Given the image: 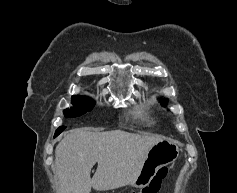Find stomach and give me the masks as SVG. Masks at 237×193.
I'll use <instances>...</instances> for the list:
<instances>
[{
	"instance_id": "obj_1",
	"label": "stomach",
	"mask_w": 237,
	"mask_h": 193,
	"mask_svg": "<svg viewBox=\"0 0 237 193\" xmlns=\"http://www.w3.org/2000/svg\"><path fill=\"white\" fill-rule=\"evenodd\" d=\"M178 156V146L171 140L162 139L148 150L137 177L130 184L137 188L148 185L161 167L173 163Z\"/></svg>"
}]
</instances>
